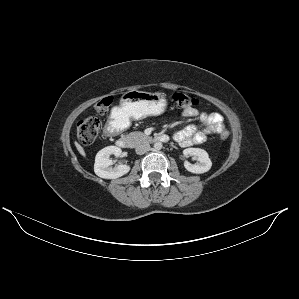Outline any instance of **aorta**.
Segmentation results:
<instances>
[{
  "label": "aorta",
  "instance_id": "obj_1",
  "mask_svg": "<svg viewBox=\"0 0 299 299\" xmlns=\"http://www.w3.org/2000/svg\"><path fill=\"white\" fill-rule=\"evenodd\" d=\"M154 149L155 150H161L162 149V143L161 142H155L154 143Z\"/></svg>",
  "mask_w": 299,
  "mask_h": 299
}]
</instances>
